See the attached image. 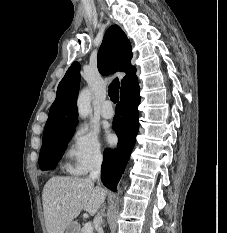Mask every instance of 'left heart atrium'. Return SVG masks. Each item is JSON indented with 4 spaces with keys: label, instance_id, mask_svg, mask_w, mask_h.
<instances>
[{
    "label": "left heart atrium",
    "instance_id": "39dd6f15",
    "mask_svg": "<svg viewBox=\"0 0 227 233\" xmlns=\"http://www.w3.org/2000/svg\"><path fill=\"white\" fill-rule=\"evenodd\" d=\"M106 138L109 143H112L114 141V135L111 133H109Z\"/></svg>",
    "mask_w": 227,
    "mask_h": 233
}]
</instances>
